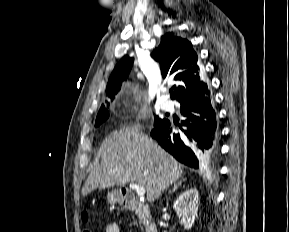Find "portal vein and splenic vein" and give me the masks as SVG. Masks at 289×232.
Instances as JSON below:
<instances>
[{
	"label": "portal vein and splenic vein",
	"instance_id": "1",
	"mask_svg": "<svg viewBox=\"0 0 289 232\" xmlns=\"http://www.w3.org/2000/svg\"><path fill=\"white\" fill-rule=\"evenodd\" d=\"M130 188L134 189L139 197H143L145 194V188L139 186L137 183H130Z\"/></svg>",
	"mask_w": 289,
	"mask_h": 232
}]
</instances>
